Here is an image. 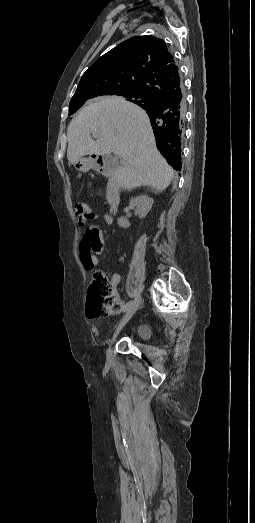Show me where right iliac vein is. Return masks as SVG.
<instances>
[{"label": "right iliac vein", "mask_w": 255, "mask_h": 523, "mask_svg": "<svg viewBox=\"0 0 255 523\" xmlns=\"http://www.w3.org/2000/svg\"><path fill=\"white\" fill-rule=\"evenodd\" d=\"M141 297H137L131 304L130 308L126 311L125 315L123 316L122 320L120 321L112 339L110 340V345L107 349V355L108 357L111 356V353H112V344L113 342L115 341L116 337L118 336V334L120 333V331L122 330V328L127 324V322L131 319V317L134 315V313L137 311L139 305L141 304Z\"/></svg>", "instance_id": "right-iliac-vein-1"}]
</instances>
